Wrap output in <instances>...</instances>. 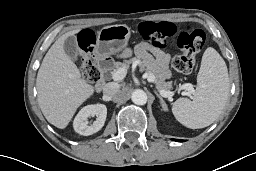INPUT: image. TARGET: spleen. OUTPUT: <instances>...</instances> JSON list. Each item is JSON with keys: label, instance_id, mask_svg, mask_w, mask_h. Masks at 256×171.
Here are the masks:
<instances>
[{"label": "spleen", "instance_id": "3e777b00", "mask_svg": "<svg viewBox=\"0 0 256 171\" xmlns=\"http://www.w3.org/2000/svg\"><path fill=\"white\" fill-rule=\"evenodd\" d=\"M229 87L226 63L214 48L209 47L202 56L193 100L177 99L172 113L177 121L188 128L207 127L222 113L228 100Z\"/></svg>", "mask_w": 256, "mask_h": 171}]
</instances>
